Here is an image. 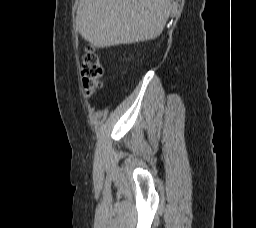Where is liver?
<instances>
[{
  "label": "liver",
  "instance_id": "liver-1",
  "mask_svg": "<svg viewBox=\"0 0 256 228\" xmlns=\"http://www.w3.org/2000/svg\"><path fill=\"white\" fill-rule=\"evenodd\" d=\"M77 28L97 48L157 38L171 10V0H80Z\"/></svg>",
  "mask_w": 256,
  "mask_h": 228
}]
</instances>
